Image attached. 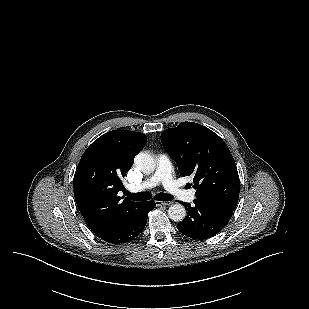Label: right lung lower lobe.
Returning a JSON list of instances; mask_svg holds the SVG:
<instances>
[{"mask_svg":"<svg viewBox=\"0 0 309 309\" xmlns=\"http://www.w3.org/2000/svg\"><path fill=\"white\" fill-rule=\"evenodd\" d=\"M154 207L153 201L140 202L112 230L99 238L115 245L129 242L142 232L147 222L148 213Z\"/></svg>","mask_w":309,"mask_h":309,"instance_id":"right-lung-lower-lobe-1","label":"right lung lower lobe"}]
</instances>
